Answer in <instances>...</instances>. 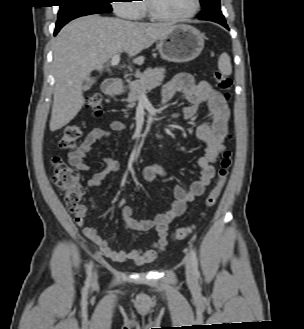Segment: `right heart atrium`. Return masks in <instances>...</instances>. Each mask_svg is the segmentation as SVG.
I'll list each match as a JSON object with an SVG mask.
<instances>
[{
	"label": "right heart atrium",
	"instance_id": "1",
	"mask_svg": "<svg viewBox=\"0 0 304 329\" xmlns=\"http://www.w3.org/2000/svg\"><path fill=\"white\" fill-rule=\"evenodd\" d=\"M136 0H114L113 8L119 17L126 19L140 18V8Z\"/></svg>",
	"mask_w": 304,
	"mask_h": 329
}]
</instances>
